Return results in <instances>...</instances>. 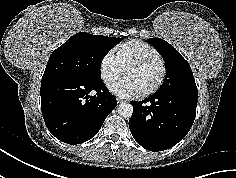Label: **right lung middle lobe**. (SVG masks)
I'll use <instances>...</instances> for the list:
<instances>
[{
	"instance_id": "dd1d6c3e",
	"label": "right lung middle lobe",
	"mask_w": 236,
	"mask_h": 178,
	"mask_svg": "<svg viewBox=\"0 0 236 178\" xmlns=\"http://www.w3.org/2000/svg\"><path fill=\"white\" fill-rule=\"evenodd\" d=\"M121 40L77 33L51 54L42 78L66 77L88 83L101 82V62Z\"/></svg>"
}]
</instances>
